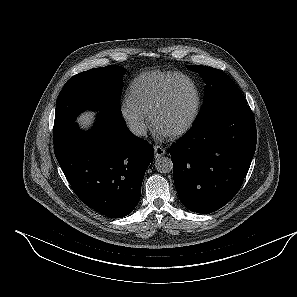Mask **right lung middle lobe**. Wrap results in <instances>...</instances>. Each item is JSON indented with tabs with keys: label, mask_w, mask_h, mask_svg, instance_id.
<instances>
[{
	"label": "right lung middle lobe",
	"mask_w": 297,
	"mask_h": 297,
	"mask_svg": "<svg viewBox=\"0 0 297 297\" xmlns=\"http://www.w3.org/2000/svg\"><path fill=\"white\" fill-rule=\"evenodd\" d=\"M126 69L109 65L81 72L61 90L55 110L53 142H59L80 112L91 109L121 116L119 97Z\"/></svg>",
	"instance_id": "1"
}]
</instances>
